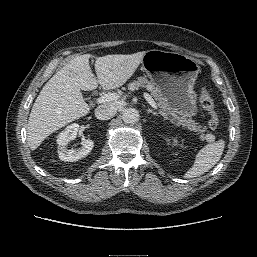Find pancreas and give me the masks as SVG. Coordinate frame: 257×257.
Wrapping results in <instances>:
<instances>
[{
  "label": "pancreas",
  "mask_w": 257,
  "mask_h": 257,
  "mask_svg": "<svg viewBox=\"0 0 257 257\" xmlns=\"http://www.w3.org/2000/svg\"><path fill=\"white\" fill-rule=\"evenodd\" d=\"M138 87H143L150 90L152 97L157 101V105L160 108V114L165 119H170L177 126L185 127L190 131L197 132L198 134L201 133L199 138L202 141L206 139L205 134H203L206 131V127L202 128L194 120L187 119L186 117L178 114L175 110H173L166 98L163 96L162 92L153 82L149 81L146 77H139L137 80L129 83L128 85L130 90H134Z\"/></svg>",
  "instance_id": "obj_1"
}]
</instances>
